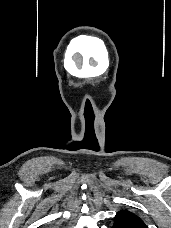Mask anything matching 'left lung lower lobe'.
Instances as JSON below:
<instances>
[{"instance_id": "left-lung-lower-lobe-1", "label": "left lung lower lobe", "mask_w": 171, "mask_h": 228, "mask_svg": "<svg viewBox=\"0 0 171 228\" xmlns=\"http://www.w3.org/2000/svg\"><path fill=\"white\" fill-rule=\"evenodd\" d=\"M112 228H147L145 223L135 219H125L122 221L114 222Z\"/></svg>"}]
</instances>
